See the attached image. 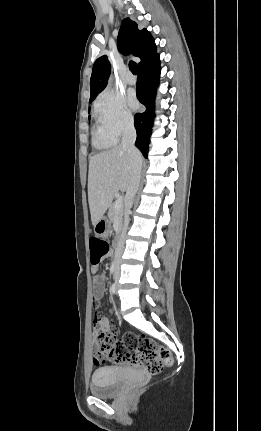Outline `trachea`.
<instances>
[{
    "mask_svg": "<svg viewBox=\"0 0 261 431\" xmlns=\"http://www.w3.org/2000/svg\"><path fill=\"white\" fill-rule=\"evenodd\" d=\"M129 69L130 71L134 74L137 75L138 74V69H137V64L133 61H130L129 63Z\"/></svg>",
    "mask_w": 261,
    "mask_h": 431,
    "instance_id": "obj_1",
    "label": "trachea"
}]
</instances>
